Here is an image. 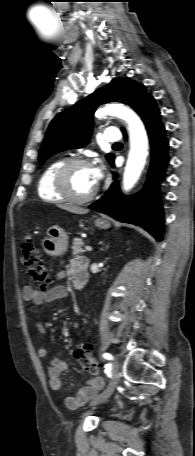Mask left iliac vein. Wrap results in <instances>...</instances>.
<instances>
[{
    "label": "left iliac vein",
    "instance_id": "obj_1",
    "mask_svg": "<svg viewBox=\"0 0 195 456\" xmlns=\"http://www.w3.org/2000/svg\"><path fill=\"white\" fill-rule=\"evenodd\" d=\"M119 379V373L118 369L116 366L113 368V381L110 383V385L106 388L104 392H102L99 396H97L93 401L91 402V405H97L103 401H105L114 391L117 382Z\"/></svg>",
    "mask_w": 195,
    "mask_h": 456
}]
</instances>
